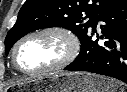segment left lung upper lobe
I'll return each mask as SVG.
<instances>
[{
    "label": "left lung upper lobe",
    "mask_w": 127,
    "mask_h": 92,
    "mask_svg": "<svg viewBox=\"0 0 127 92\" xmlns=\"http://www.w3.org/2000/svg\"><path fill=\"white\" fill-rule=\"evenodd\" d=\"M118 1L120 0H27L5 38L6 54L21 37L41 28L63 27L71 30L82 41L99 17Z\"/></svg>",
    "instance_id": "obj_1"
}]
</instances>
